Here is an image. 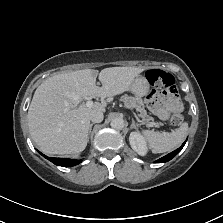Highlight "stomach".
Wrapping results in <instances>:
<instances>
[{"mask_svg":"<svg viewBox=\"0 0 223 223\" xmlns=\"http://www.w3.org/2000/svg\"><path fill=\"white\" fill-rule=\"evenodd\" d=\"M131 91L136 95L146 96L150 91V83L148 77L143 74L138 76L130 87Z\"/></svg>","mask_w":223,"mask_h":223,"instance_id":"0dacf381","label":"stomach"}]
</instances>
